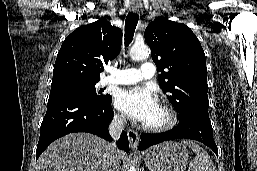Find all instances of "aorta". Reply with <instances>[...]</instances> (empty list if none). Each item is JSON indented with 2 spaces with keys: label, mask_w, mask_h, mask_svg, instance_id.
Returning a JSON list of instances; mask_svg holds the SVG:
<instances>
[{
  "label": "aorta",
  "mask_w": 257,
  "mask_h": 171,
  "mask_svg": "<svg viewBox=\"0 0 257 171\" xmlns=\"http://www.w3.org/2000/svg\"><path fill=\"white\" fill-rule=\"evenodd\" d=\"M150 49L145 44H134L130 49V57L132 60L139 61L149 57ZM129 171H135L133 168H130Z\"/></svg>",
  "instance_id": "762f6f07"
}]
</instances>
